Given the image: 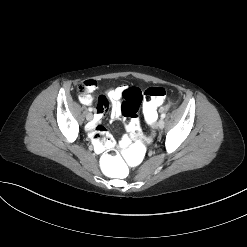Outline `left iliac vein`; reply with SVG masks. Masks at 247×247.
<instances>
[{"label": "left iliac vein", "mask_w": 247, "mask_h": 247, "mask_svg": "<svg viewBox=\"0 0 247 247\" xmlns=\"http://www.w3.org/2000/svg\"><path fill=\"white\" fill-rule=\"evenodd\" d=\"M164 125H165V122H164V120L163 119H160L158 122H157V127L159 128V129H162V128H164Z\"/></svg>", "instance_id": "left-iliac-vein-1"}]
</instances>
